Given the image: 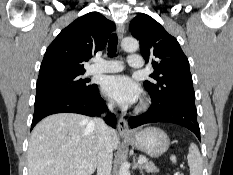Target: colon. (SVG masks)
<instances>
[{
	"label": "colon",
	"instance_id": "1",
	"mask_svg": "<svg viewBox=\"0 0 233 175\" xmlns=\"http://www.w3.org/2000/svg\"><path fill=\"white\" fill-rule=\"evenodd\" d=\"M175 175H184V173L178 171V172L175 173Z\"/></svg>",
	"mask_w": 233,
	"mask_h": 175
}]
</instances>
